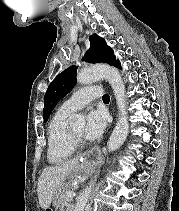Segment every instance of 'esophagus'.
<instances>
[{
  "label": "esophagus",
  "mask_w": 179,
  "mask_h": 211,
  "mask_svg": "<svg viewBox=\"0 0 179 211\" xmlns=\"http://www.w3.org/2000/svg\"><path fill=\"white\" fill-rule=\"evenodd\" d=\"M85 159H90V163H96L95 165L98 167L102 162L103 154H100V151H97V147H90V151L88 154H85Z\"/></svg>",
  "instance_id": "34e87169"
}]
</instances>
